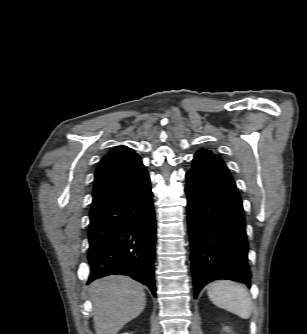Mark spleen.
Here are the masks:
<instances>
[{"instance_id": "spleen-1", "label": "spleen", "mask_w": 307, "mask_h": 334, "mask_svg": "<svg viewBox=\"0 0 307 334\" xmlns=\"http://www.w3.org/2000/svg\"><path fill=\"white\" fill-rule=\"evenodd\" d=\"M207 294L216 306L243 319L251 316L252 301L248 290L241 284L228 280L215 281L208 287Z\"/></svg>"}]
</instances>
